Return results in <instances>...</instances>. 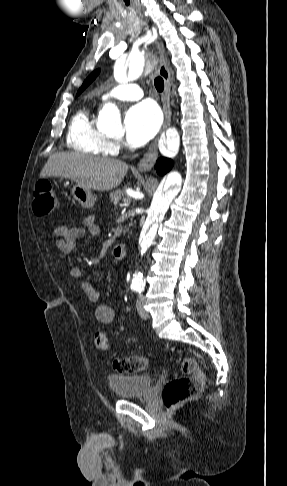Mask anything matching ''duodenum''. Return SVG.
I'll return each mask as SVG.
<instances>
[{
  "instance_id": "410a0bca",
  "label": "duodenum",
  "mask_w": 287,
  "mask_h": 486,
  "mask_svg": "<svg viewBox=\"0 0 287 486\" xmlns=\"http://www.w3.org/2000/svg\"><path fill=\"white\" fill-rule=\"evenodd\" d=\"M127 254V245L120 243L117 244L114 248L113 255L114 258L117 260H122Z\"/></svg>"
}]
</instances>
